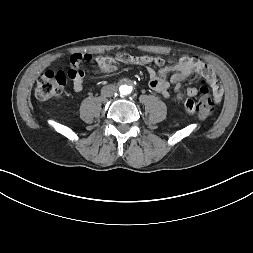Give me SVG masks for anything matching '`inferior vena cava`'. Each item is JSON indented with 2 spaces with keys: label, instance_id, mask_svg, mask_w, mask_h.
<instances>
[{
  "label": "inferior vena cava",
  "instance_id": "1",
  "mask_svg": "<svg viewBox=\"0 0 253 253\" xmlns=\"http://www.w3.org/2000/svg\"><path fill=\"white\" fill-rule=\"evenodd\" d=\"M117 91V87L113 84L106 85L101 89V94L105 97L113 96Z\"/></svg>",
  "mask_w": 253,
  "mask_h": 253
}]
</instances>
